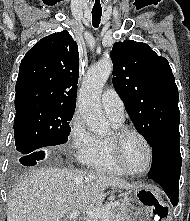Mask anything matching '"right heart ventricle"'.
<instances>
[{
    "mask_svg": "<svg viewBox=\"0 0 190 221\" xmlns=\"http://www.w3.org/2000/svg\"><path fill=\"white\" fill-rule=\"evenodd\" d=\"M114 128L121 127L122 123L112 121ZM90 168L107 173L125 174L115 163L107 142V138L96 137V146L93 155L86 163Z\"/></svg>",
    "mask_w": 190,
    "mask_h": 221,
    "instance_id": "obj_1",
    "label": "right heart ventricle"
}]
</instances>
